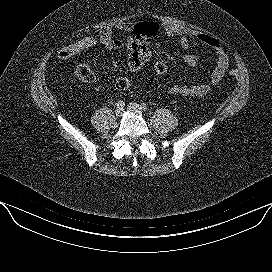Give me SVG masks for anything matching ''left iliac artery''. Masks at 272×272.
<instances>
[{"label":"left iliac artery","mask_w":272,"mask_h":272,"mask_svg":"<svg viewBox=\"0 0 272 272\" xmlns=\"http://www.w3.org/2000/svg\"><path fill=\"white\" fill-rule=\"evenodd\" d=\"M141 108L143 109V110H147L148 109V107H147V105L145 104V103H141Z\"/></svg>","instance_id":"obj_1"}]
</instances>
